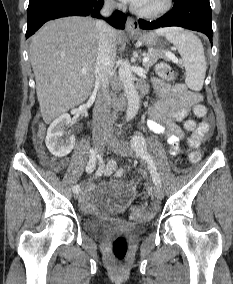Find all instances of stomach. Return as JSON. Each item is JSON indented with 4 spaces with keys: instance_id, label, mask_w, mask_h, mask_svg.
Masks as SVG:
<instances>
[{
    "instance_id": "stomach-1",
    "label": "stomach",
    "mask_w": 233,
    "mask_h": 284,
    "mask_svg": "<svg viewBox=\"0 0 233 284\" xmlns=\"http://www.w3.org/2000/svg\"><path fill=\"white\" fill-rule=\"evenodd\" d=\"M132 37L149 48L163 50L160 43V35L156 32H141L139 34H132Z\"/></svg>"
}]
</instances>
